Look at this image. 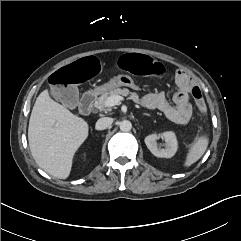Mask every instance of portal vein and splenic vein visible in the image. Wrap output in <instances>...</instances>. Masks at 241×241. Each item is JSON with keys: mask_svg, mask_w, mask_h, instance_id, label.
Returning <instances> with one entry per match:
<instances>
[{"mask_svg": "<svg viewBox=\"0 0 241 241\" xmlns=\"http://www.w3.org/2000/svg\"><path fill=\"white\" fill-rule=\"evenodd\" d=\"M123 100L124 98L122 96H111L106 100L105 105L106 107H113Z\"/></svg>", "mask_w": 241, "mask_h": 241, "instance_id": "obj_1", "label": "portal vein and splenic vein"}]
</instances>
